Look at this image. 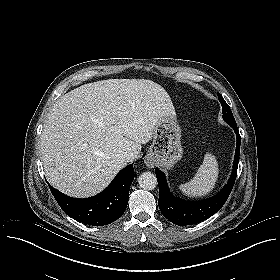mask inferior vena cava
Masks as SVG:
<instances>
[{"mask_svg": "<svg viewBox=\"0 0 280 280\" xmlns=\"http://www.w3.org/2000/svg\"><path fill=\"white\" fill-rule=\"evenodd\" d=\"M122 157L126 162H130L134 159L133 154H131L129 152H125Z\"/></svg>", "mask_w": 280, "mask_h": 280, "instance_id": "1", "label": "inferior vena cava"}]
</instances>
